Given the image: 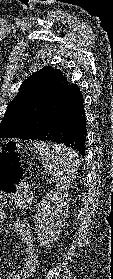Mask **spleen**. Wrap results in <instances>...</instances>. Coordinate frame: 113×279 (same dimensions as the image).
Returning <instances> with one entry per match:
<instances>
[{
  "instance_id": "1",
  "label": "spleen",
  "mask_w": 113,
  "mask_h": 279,
  "mask_svg": "<svg viewBox=\"0 0 113 279\" xmlns=\"http://www.w3.org/2000/svg\"><path fill=\"white\" fill-rule=\"evenodd\" d=\"M33 145L39 152L44 171L59 181L56 188L60 191L67 190L80 167L78 152L56 143L35 142Z\"/></svg>"
}]
</instances>
